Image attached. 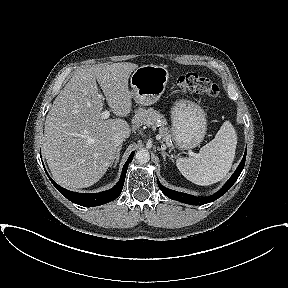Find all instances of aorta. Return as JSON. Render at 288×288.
Returning <instances> with one entry per match:
<instances>
[{
  "instance_id": "obj_1",
  "label": "aorta",
  "mask_w": 288,
  "mask_h": 288,
  "mask_svg": "<svg viewBox=\"0 0 288 288\" xmlns=\"http://www.w3.org/2000/svg\"><path fill=\"white\" fill-rule=\"evenodd\" d=\"M135 159L139 164H146L150 160V154L147 150L142 149L136 152Z\"/></svg>"
}]
</instances>
